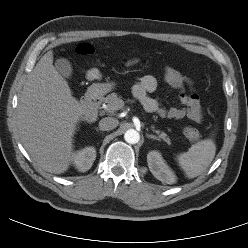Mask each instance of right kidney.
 Listing matches in <instances>:
<instances>
[{"mask_svg": "<svg viewBox=\"0 0 248 248\" xmlns=\"http://www.w3.org/2000/svg\"><path fill=\"white\" fill-rule=\"evenodd\" d=\"M96 159V150L94 147H85L72 156V162L74 166L80 172L89 170Z\"/></svg>", "mask_w": 248, "mask_h": 248, "instance_id": "obj_1", "label": "right kidney"}]
</instances>
